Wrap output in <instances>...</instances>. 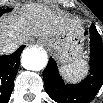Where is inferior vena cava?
<instances>
[{
  "instance_id": "inferior-vena-cava-1",
  "label": "inferior vena cava",
  "mask_w": 103,
  "mask_h": 103,
  "mask_svg": "<svg viewBox=\"0 0 103 103\" xmlns=\"http://www.w3.org/2000/svg\"><path fill=\"white\" fill-rule=\"evenodd\" d=\"M16 48H17V44L13 43V42L5 44V45H3V44L1 45V50L5 53H12L15 51L14 49H16Z\"/></svg>"
}]
</instances>
